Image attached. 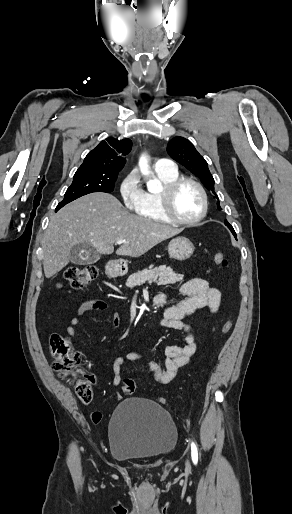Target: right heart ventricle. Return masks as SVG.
Returning <instances> with one entry per match:
<instances>
[{
    "label": "right heart ventricle",
    "instance_id": "1",
    "mask_svg": "<svg viewBox=\"0 0 292 514\" xmlns=\"http://www.w3.org/2000/svg\"><path fill=\"white\" fill-rule=\"evenodd\" d=\"M157 178L162 182L163 185L171 183L172 181L178 179V173L174 175H167L157 171ZM157 193H154L150 190L144 191V198L141 206L136 210L137 214L148 218L150 220L167 223V219L163 215L158 200Z\"/></svg>",
    "mask_w": 292,
    "mask_h": 514
}]
</instances>
